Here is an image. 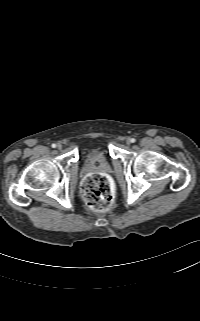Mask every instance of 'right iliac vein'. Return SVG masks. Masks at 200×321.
I'll return each instance as SVG.
<instances>
[{
	"label": "right iliac vein",
	"mask_w": 200,
	"mask_h": 321,
	"mask_svg": "<svg viewBox=\"0 0 200 321\" xmlns=\"http://www.w3.org/2000/svg\"><path fill=\"white\" fill-rule=\"evenodd\" d=\"M58 149H62V145L60 143L57 144Z\"/></svg>",
	"instance_id": "right-iliac-vein-1"
}]
</instances>
